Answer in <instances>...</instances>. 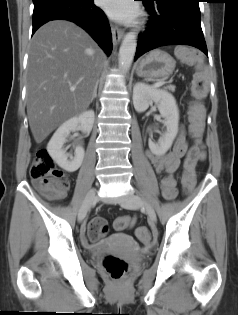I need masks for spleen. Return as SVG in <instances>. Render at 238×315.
Returning a JSON list of instances; mask_svg holds the SVG:
<instances>
[{
	"mask_svg": "<svg viewBox=\"0 0 238 315\" xmlns=\"http://www.w3.org/2000/svg\"><path fill=\"white\" fill-rule=\"evenodd\" d=\"M198 62H199V63H202L203 61H202V59H198Z\"/></svg>",
	"mask_w": 238,
	"mask_h": 315,
	"instance_id": "spleen-1",
	"label": "spleen"
}]
</instances>
